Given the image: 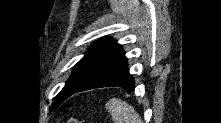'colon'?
<instances>
[{"label":"colon","instance_id":"1","mask_svg":"<svg viewBox=\"0 0 221 123\" xmlns=\"http://www.w3.org/2000/svg\"><path fill=\"white\" fill-rule=\"evenodd\" d=\"M67 122H68V123H79V122H81V121H79V120H77V119H75V118H71V119H69Z\"/></svg>","mask_w":221,"mask_h":123}]
</instances>
